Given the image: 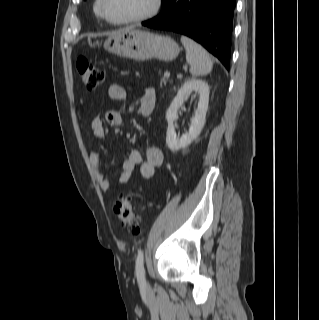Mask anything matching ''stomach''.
I'll return each mask as SVG.
<instances>
[{"label": "stomach", "mask_w": 319, "mask_h": 320, "mask_svg": "<svg viewBox=\"0 0 319 320\" xmlns=\"http://www.w3.org/2000/svg\"><path fill=\"white\" fill-rule=\"evenodd\" d=\"M104 48L115 55L138 61L156 58L169 62L176 59L180 52L171 37L139 29L123 30L108 37Z\"/></svg>", "instance_id": "stomach-1"}]
</instances>
